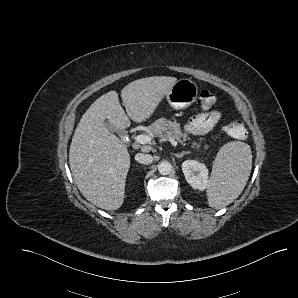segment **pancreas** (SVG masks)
<instances>
[{"instance_id":"1","label":"pancreas","mask_w":298,"mask_h":298,"mask_svg":"<svg viewBox=\"0 0 298 298\" xmlns=\"http://www.w3.org/2000/svg\"><path fill=\"white\" fill-rule=\"evenodd\" d=\"M145 133H151L157 137L171 136L179 143H183L186 139V136L182 134L180 124L170 121L166 117H160L155 122H152Z\"/></svg>"}]
</instances>
